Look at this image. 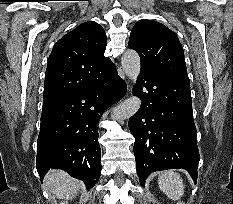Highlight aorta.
I'll return each instance as SVG.
<instances>
[{"mask_svg": "<svg viewBox=\"0 0 233 204\" xmlns=\"http://www.w3.org/2000/svg\"><path fill=\"white\" fill-rule=\"evenodd\" d=\"M121 65L126 76L135 82L140 73V57L132 49H128L121 58ZM141 100L139 97L132 96L117 106L111 114L113 120L122 121L132 117L140 108Z\"/></svg>", "mask_w": 233, "mask_h": 204, "instance_id": "aorta-1", "label": "aorta"}]
</instances>
